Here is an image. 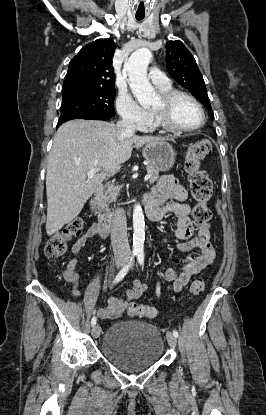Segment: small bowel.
Here are the masks:
<instances>
[{"label":"small bowel","mask_w":266,"mask_h":415,"mask_svg":"<svg viewBox=\"0 0 266 415\" xmlns=\"http://www.w3.org/2000/svg\"><path fill=\"white\" fill-rule=\"evenodd\" d=\"M173 198L174 201H170ZM188 193L185 187L175 176H165L144 197L148 216L153 220H161L168 214L177 218L175 237L180 241L177 248L182 252L197 249L198 253L188 255L180 267L167 268L162 274V280L169 283V289L179 292L187 285L191 277L211 265L215 259V251L210 242V232L207 227L198 229L194 237L189 217L190 206L186 203ZM108 231L99 224L91 225L88 230L80 236L72 246V257L64 273L65 278L74 283V295L80 296L77 289L79 276L75 272L78 266L76 255L86 246L87 242L95 237L105 239ZM148 287L140 280H135L130 289L125 291V299L110 298L107 306L100 308L97 313L102 319L118 318L124 312L126 306L134 299L139 298Z\"/></svg>","instance_id":"1"}]
</instances>
